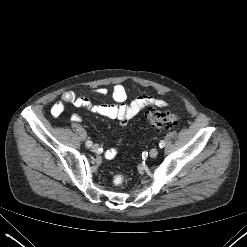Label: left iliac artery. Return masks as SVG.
I'll return each instance as SVG.
<instances>
[{"label": "left iliac artery", "mask_w": 247, "mask_h": 247, "mask_svg": "<svg viewBox=\"0 0 247 247\" xmlns=\"http://www.w3.org/2000/svg\"><path fill=\"white\" fill-rule=\"evenodd\" d=\"M165 146V141L164 140H161L160 143H159V147L160 148H163Z\"/></svg>", "instance_id": "obj_1"}]
</instances>
